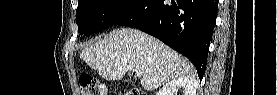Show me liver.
Here are the masks:
<instances>
[{"instance_id":"6515ba94","label":"liver","mask_w":277,"mask_h":95,"mask_svg":"<svg viewBox=\"0 0 277 95\" xmlns=\"http://www.w3.org/2000/svg\"><path fill=\"white\" fill-rule=\"evenodd\" d=\"M80 58L106 80H120L128 71H141V85L148 91L171 79H195L185 58L153 36L131 28L114 30L82 50Z\"/></svg>"}]
</instances>
